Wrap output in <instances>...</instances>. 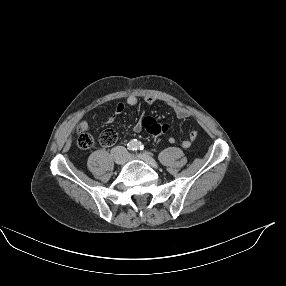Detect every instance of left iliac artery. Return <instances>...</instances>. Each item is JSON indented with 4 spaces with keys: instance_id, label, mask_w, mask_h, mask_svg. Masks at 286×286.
I'll list each match as a JSON object with an SVG mask.
<instances>
[{
    "instance_id": "left-iliac-artery-1",
    "label": "left iliac artery",
    "mask_w": 286,
    "mask_h": 286,
    "mask_svg": "<svg viewBox=\"0 0 286 286\" xmlns=\"http://www.w3.org/2000/svg\"><path fill=\"white\" fill-rule=\"evenodd\" d=\"M135 149L136 150H144V145L140 141L136 140V142H135Z\"/></svg>"
}]
</instances>
